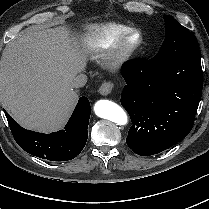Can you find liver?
Instances as JSON below:
<instances>
[{"mask_svg": "<svg viewBox=\"0 0 209 209\" xmlns=\"http://www.w3.org/2000/svg\"><path fill=\"white\" fill-rule=\"evenodd\" d=\"M85 66V55L65 27L26 28L3 50L0 101L23 127L59 130L78 100L72 81Z\"/></svg>", "mask_w": 209, "mask_h": 209, "instance_id": "obj_1", "label": "liver"}]
</instances>
